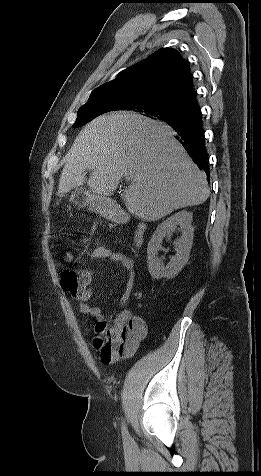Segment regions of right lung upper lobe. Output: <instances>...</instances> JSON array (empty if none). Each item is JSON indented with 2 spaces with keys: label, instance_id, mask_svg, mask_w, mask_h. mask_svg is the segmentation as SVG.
<instances>
[{
  "label": "right lung upper lobe",
  "instance_id": "1",
  "mask_svg": "<svg viewBox=\"0 0 261 476\" xmlns=\"http://www.w3.org/2000/svg\"><path fill=\"white\" fill-rule=\"evenodd\" d=\"M113 97L120 110L135 111L147 104L182 110L195 107L196 92L189 64L174 49L162 48L96 88L88 102Z\"/></svg>",
  "mask_w": 261,
  "mask_h": 476
}]
</instances>
